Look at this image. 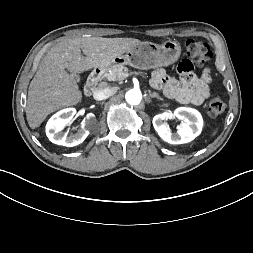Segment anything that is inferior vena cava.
Listing matches in <instances>:
<instances>
[{
  "mask_svg": "<svg viewBox=\"0 0 253 253\" xmlns=\"http://www.w3.org/2000/svg\"><path fill=\"white\" fill-rule=\"evenodd\" d=\"M114 94L111 88H98L95 90L93 97L97 101L105 100Z\"/></svg>",
  "mask_w": 253,
  "mask_h": 253,
  "instance_id": "obj_1",
  "label": "inferior vena cava"
}]
</instances>
